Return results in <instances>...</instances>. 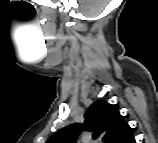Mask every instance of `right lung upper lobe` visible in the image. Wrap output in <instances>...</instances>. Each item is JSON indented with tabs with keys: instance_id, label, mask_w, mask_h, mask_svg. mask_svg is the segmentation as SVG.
Listing matches in <instances>:
<instances>
[{
	"instance_id": "right-lung-upper-lobe-1",
	"label": "right lung upper lobe",
	"mask_w": 158,
	"mask_h": 143,
	"mask_svg": "<svg viewBox=\"0 0 158 143\" xmlns=\"http://www.w3.org/2000/svg\"><path fill=\"white\" fill-rule=\"evenodd\" d=\"M84 116L83 125H69L52 135L47 143H76L82 130L92 131L93 138L104 135L109 143H129L134 138L120 112L106 101L93 103Z\"/></svg>"
}]
</instances>
